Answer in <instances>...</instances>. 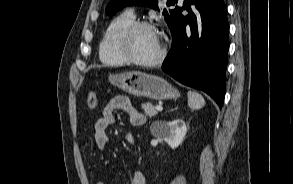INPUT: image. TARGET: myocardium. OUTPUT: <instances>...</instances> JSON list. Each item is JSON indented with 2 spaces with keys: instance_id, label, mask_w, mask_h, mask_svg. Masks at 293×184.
Returning <instances> with one entry per match:
<instances>
[{
  "instance_id": "1",
  "label": "myocardium",
  "mask_w": 293,
  "mask_h": 184,
  "mask_svg": "<svg viewBox=\"0 0 293 184\" xmlns=\"http://www.w3.org/2000/svg\"><path fill=\"white\" fill-rule=\"evenodd\" d=\"M142 28L150 29L154 32H156L161 40V50L158 54V56L152 60H139L135 58L131 51H130V42L132 39L133 34ZM117 47L120 55L129 63H132L137 66L142 67H153L158 64H160L166 57L167 53V45L165 41L162 39L159 29L152 23L148 21H133L131 24H129L127 27L123 29L121 34L119 35L118 41H117Z\"/></svg>"
}]
</instances>
